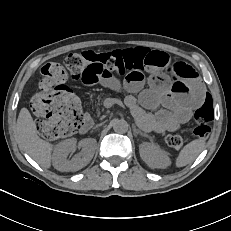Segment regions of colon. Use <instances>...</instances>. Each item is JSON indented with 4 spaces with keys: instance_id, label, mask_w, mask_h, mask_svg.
Instances as JSON below:
<instances>
[{
    "instance_id": "obj_1",
    "label": "colon",
    "mask_w": 231,
    "mask_h": 231,
    "mask_svg": "<svg viewBox=\"0 0 231 231\" xmlns=\"http://www.w3.org/2000/svg\"><path fill=\"white\" fill-rule=\"evenodd\" d=\"M158 59L162 66L172 74L173 85L177 91L186 92V76L178 64L169 62L168 56L157 57L147 48H130L105 52L83 51L69 54L64 65L49 62L41 68L39 90L31 99L32 111L42 120L38 123V132L46 139L54 140L73 134L83 123L80 104L71 90L65 85L68 77L80 79L90 65L103 66L121 74L142 71ZM213 118V108L209 97L194 113V135L198 139L206 138L210 132L209 123ZM185 140L177 134L166 137V143L180 149Z\"/></svg>"
}]
</instances>
